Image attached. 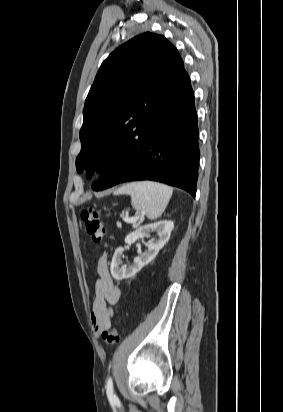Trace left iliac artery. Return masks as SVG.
Masks as SVG:
<instances>
[{"label": "left iliac artery", "instance_id": "obj_1", "mask_svg": "<svg viewBox=\"0 0 283 412\" xmlns=\"http://www.w3.org/2000/svg\"><path fill=\"white\" fill-rule=\"evenodd\" d=\"M106 393H107V397L110 401H112V402H117L118 401V398L116 397V395L114 394V391H113V382H112L111 377H109L108 381H107Z\"/></svg>", "mask_w": 283, "mask_h": 412}]
</instances>
